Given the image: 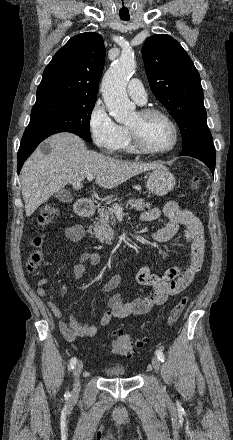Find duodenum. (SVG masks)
<instances>
[{
    "instance_id": "410a0bca",
    "label": "duodenum",
    "mask_w": 233,
    "mask_h": 440,
    "mask_svg": "<svg viewBox=\"0 0 233 440\" xmlns=\"http://www.w3.org/2000/svg\"><path fill=\"white\" fill-rule=\"evenodd\" d=\"M75 212L80 217H90L94 214L95 208L87 200H80L75 205Z\"/></svg>"
}]
</instances>
